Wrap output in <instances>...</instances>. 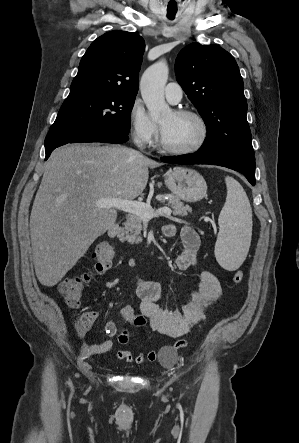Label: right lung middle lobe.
<instances>
[{"label": "right lung middle lobe", "instance_id": "dd1d6c3e", "mask_svg": "<svg viewBox=\"0 0 299 443\" xmlns=\"http://www.w3.org/2000/svg\"><path fill=\"white\" fill-rule=\"evenodd\" d=\"M134 102L135 95L96 88L70 89L48 133L115 128L128 134Z\"/></svg>", "mask_w": 299, "mask_h": 443}]
</instances>
